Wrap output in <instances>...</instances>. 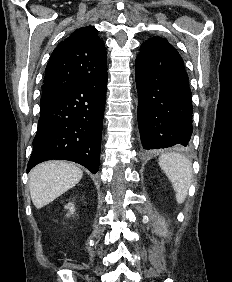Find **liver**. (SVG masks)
<instances>
[{
  "mask_svg": "<svg viewBox=\"0 0 232 282\" xmlns=\"http://www.w3.org/2000/svg\"><path fill=\"white\" fill-rule=\"evenodd\" d=\"M83 172L76 165L65 161H48L34 167L29 174V190L34 206L38 209L74 187Z\"/></svg>",
  "mask_w": 232,
  "mask_h": 282,
  "instance_id": "6515ba94",
  "label": "liver"
}]
</instances>
